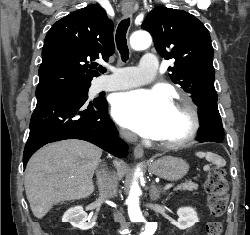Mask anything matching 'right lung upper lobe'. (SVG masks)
<instances>
[{"instance_id":"obj_1","label":"right lung upper lobe","mask_w":250,"mask_h":235,"mask_svg":"<svg viewBox=\"0 0 250 235\" xmlns=\"http://www.w3.org/2000/svg\"><path fill=\"white\" fill-rule=\"evenodd\" d=\"M114 49L113 22L101 6L93 4L63 17L45 37L36 96L90 87L99 74L93 61H108Z\"/></svg>"}]
</instances>
